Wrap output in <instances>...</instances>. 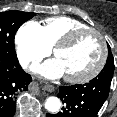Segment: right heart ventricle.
I'll list each match as a JSON object with an SVG mask.
<instances>
[{"label": "right heart ventricle", "mask_w": 117, "mask_h": 117, "mask_svg": "<svg viewBox=\"0 0 117 117\" xmlns=\"http://www.w3.org/2000/svg\"><path fill=\"white\" fill-rule=\"evenodd\" d=\"M40 26L43 39L50 48L70 31L88 27L83 22L68 16L47 18Z\"/></svg>", "instance_id": "right-heart-ventricle-1"}]
</instances>
